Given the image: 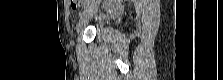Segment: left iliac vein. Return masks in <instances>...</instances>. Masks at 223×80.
<instances>
[{
	"mask_svg": "<svg viewBox=\"0 0 223 80\" xmlns=\"http://www.w3.org/2000/svg\"><path fill=\"white\" fill-rule=\"evenodd\" d=\"M99 5H100V1H96L86 6L76 26L77 32H80L89 23V21L93 18V16L98 11Z\"/></svg>",
	"mask_w": 223,
	"mask_h": 80,
	"instance_id": "left-iliac-vein-1",
	"label": "left iliac vein"
}]
</instances>
